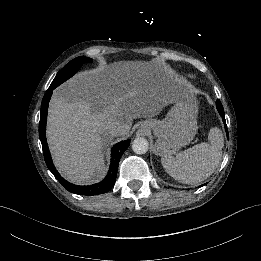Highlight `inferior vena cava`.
<instances>
[{"label":"inferior vena cava","instance_id":"1","mask_svg":"<svg viewBox=\"0 0 261 261\" xmlns=\"http://www.w3.org/2000/svg\"><path fill=\"white\" fill-rule=\"evenodd\" d=\"M108 130H109L110 134H111L112 136H115V137L122 135V134H123V131H124V129L122 128V126H121L119 123H117V122L111 124V125L108 127Z\"/></svg>","mask_w":261,"mask_h":261}]
</instances>
